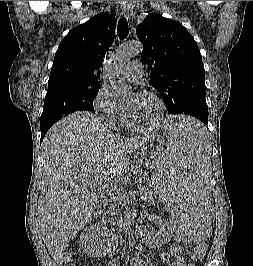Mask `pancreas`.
<instances>
[{
	"instance_id": "obj_1",
	"label": "pancreas",
	"mask_w": 253,
	"mask_h": 266,
	"mask_svg": "<svg viewBox=\"0 0 253 266\" xmlns=\"http://www.w3.org/2000/svg\"><path fill=\"white\" fill-rule=\"evenodd\" d=\"M138 181L141 183L140 190H141V196L144 199V201H153V192L149 191L146 182V174L141 172L138 174ZM118 192V193H117ZM110 199L109 202H113L112 204L108 205V208L106 211H104L103 218L105 222L109 223L110 225L114 224L116 217L119 213V205L125 203L128 201V197L124 193L123 189L120 188L115 192H112L109 194Z\"/></svg>"
}]
</instances>
